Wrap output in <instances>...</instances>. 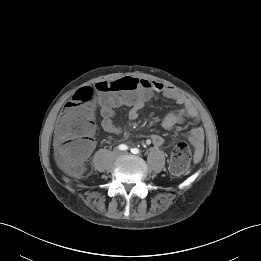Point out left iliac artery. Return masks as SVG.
<instances>
[{
	"mask_svg": "<svg viewBox=\"0 0 261 261\" xmlns=\"http://www.w3.org/2000/svg\"><path fill=\"white\" fill-rule=\"evenodd\" d=\"M131 152H132L133 154H138V153H139V150H138L137 148H132V149H131Z\"/></svg>",
	"mask_w": 261,
	"mask_h": 261,
	"instance_id": "obj_1",
	"label": "left iliac artery"
}]
</instances>
